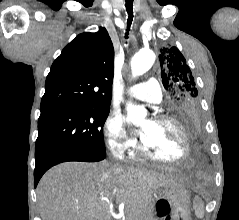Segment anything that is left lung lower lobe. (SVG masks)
Listing matches in <instances>:
<instances>
[{
  "mask_svg": "<svg viewBox=\"0 0 239 220\" xmlns=\"http://www.w3.org/2000/svg\"><path fill=\"white\" fill-rule=\"evenodd\" d=\"M179 122L191 133L194 144L196 147L199 146V139L201 130H202V122H201V115L198 111H189L181 114L177 117Z\"/></svg>",
  "mask_w": 239,
  "mask_h": 220,
  "instance_id": "0a47b994",
  "label": "left lung lower lobe"
}]
</instances>
